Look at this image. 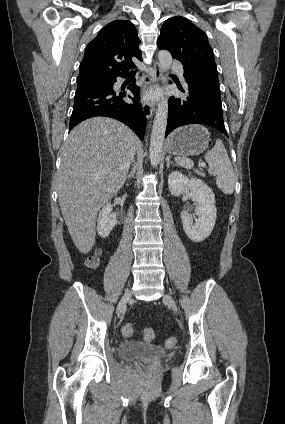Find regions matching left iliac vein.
Instances as JSON below:
<instances>
[{
    "label": "left iliac vein",
    "mask_w": 285,
    "mask_h": 424,
    "mask_svg": "<svg viewBox=\"0 0 285 424\" xmlns=\"http://www.w3.org/2000/svg\"><path fill=\"white\" fill-rule=\"evenodd\" d=\"M164 298L170 303L172 309L174 310L175 313L178 312L177 306L175 301L173 300V298L169 295H165Z\"/></svg>",
    "instance_id": "left-iliac-vein-1"
}]
</instances>
